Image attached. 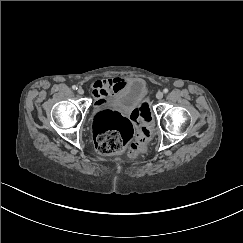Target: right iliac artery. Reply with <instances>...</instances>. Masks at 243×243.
<instances>
[{"mask_svg": "<svg viewBox=\"0 0 243 243\" xmlns=\"http://www.w3.org/2000/svg\"><path fill=\"white\" fill-rule=\"evenodd\" d=\"M72 89H73V90H76V89H77V86H76V85H73V86H72Z\"/></svg>", "mask_w": 243, "mask_h": 243, "instance_id": "1", "label": "right iliac artery"}]
</instances>
